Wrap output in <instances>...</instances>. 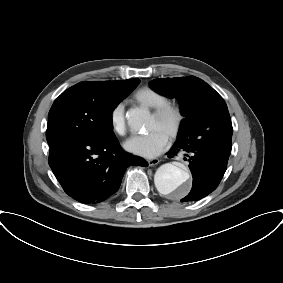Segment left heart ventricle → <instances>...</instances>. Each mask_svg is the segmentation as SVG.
<instances>
[{"mask_svg":"<svg viewBox=\"0 0 283 283\" xmlns=\"http://www.w3.org/2000/svg\"><path fill=\"white\" fill-rule=\"evenodd\" d=\"M172 117H166L163 119L156 118L154 116H150L147 129L152 130V129H159L160 131L164 132L166 135H168L171 127H172Z\"/></svg>","mask_w":283,"mask_h":283,"instance_id":"1","label":"left heart ventricle"}]
</instances>
